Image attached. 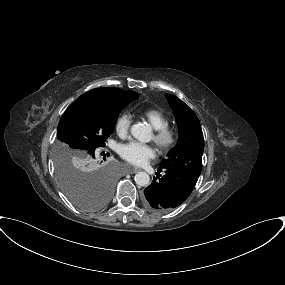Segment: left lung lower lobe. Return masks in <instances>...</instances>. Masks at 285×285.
I'll list each match as a JSON object with an SVG mask.
<instances>
[{
	"mask_svg": "<svg viewBox=\"0 0 285 285\" xmlns=\"http://www.w3.org/2000/svg\"><path fill=\"white\" fill-rule=\"evenodd\" d=\"M162 169V168H161ZM165 175L153 179L144 190V205L155 212H167L184 202L196 182L173 169H164ZM161 172V170H158Z\"/></svg>",
	"mask_w": 285,
	"mask_h": 285,
	"instance_id": "1",
	"label": "left lung lower lobe"
}]
</instances>
